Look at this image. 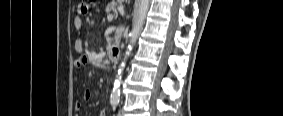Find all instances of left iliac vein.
Here are the masks:
<instances>
[{
  "mask_svg": "<svg viewBox=\"0 0 283 116\" xmlns=\"http://www.w3.org/2000/svg\"><path fill=\"white\" fill-rule=\"evenodd\" d=\"M118 116H122L120 112L118 113Z\"/></svg>",
  "mask_w": 283,
  "mask_h": 116,
  "instance_id": "obj_1",
  "label": "left iliac vein"
}]
</instances>
